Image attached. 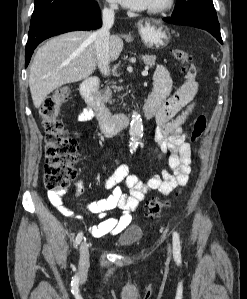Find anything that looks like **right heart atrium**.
<instances>
[{
    "label": "right heart atrium",
    "instance_id": "obj_1",
    "mask_svg": "<svg viewBox=\"0 0 247 299\" xmlns=\"http://www.w3.org/2000/svg\"><path fill=\"white\" fill-rule=\"evenodd\" d=\"M115 6L113 4H107L103 8V12L106 16H111L114 13Z\"/></svg>",
    "mask_w": 247,
    "mask_h": 299
}]
</instances>
